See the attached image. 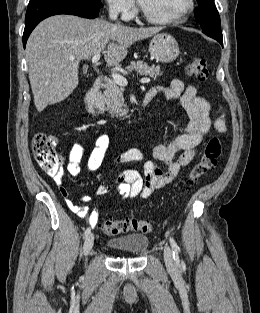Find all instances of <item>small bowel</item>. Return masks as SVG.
Returning a JSON list of instances; mask_svg holds the SVG:
<instances>
[{"label":"small bowel","instance_id":"obj_1","mask_svg":"<svg viewBox=\"0 0 260 313\" xmlns=\"http://www.w3.org/2000/svg\"><path fill=\"white\" fill-rule=\"evenodd\" d=\"M158 95H163L167 101H178L186 111L189 122L186 130L171 141L156 146L153 150V159H148L143 151L129 148L118 153L113 164L139 162L144 164L142 173L126 170L120 172L112 184H100L95 193L99 196L106 195L114 187L122 200L131 198L146 199L156 189L171 184L180 174L183 167L189 165L196 157L197 149L211 128L210 111L212 105L196 93L192 85L185 86L180 79L172 80L169 87H155L150 90L148 97L152 100ZM221 110L220 106H216ZM213 126L218 132H225L226 125L224 114L220 111ZM109 146V138L106 134H99L95 139L93 149L87 164L89 171H96L102 164ZM85 145L75 143L67 155L66 170L74 177L82 173L81 160ZM157 161L165 165L162 170ZM55 183L59 186L67 208L80 218H87L92 226L98 221L96 210L90 211L86 206L75 203L64 187L61 175L57 176ZM90 197L81 198L82 202H88Z\"/></svg>","mask_w":260,"mask_h":313}]
</instances>
